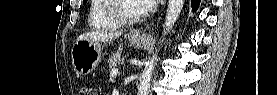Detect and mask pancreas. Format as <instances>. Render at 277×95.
I'll return each instance as SVG.
<instances>
[{
  "instance_id": "cf45deb5",
  "label": "pancreas",
  "mask_w": 277,
  "mask_h": 95,
  "mask_svg": "<svg viewBox=\"0 0 277 95\" xmlns=\"http://www.w3.org/2000/svg\"><path fill=\"white\" fill-rule=\"evenodd\" d=\"M120 62H121V54H120V52L113 53L108 58L109 69L113 70L115 67H117L120 64Z\"/></svg>"
}]
</instances>
